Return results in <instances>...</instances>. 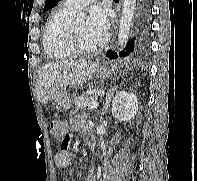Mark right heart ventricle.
<instances>
[{"label": "right heart ventricle", "instance_id": "obj_1", "mask_svg": "<svg viewBox=\"0 0 197 181\" xmlns=\"http://www.w3.org/2000/svg\"><path fill=\"white\" fill-rule=\"evenodd\" d=\"M73 12L63 6L49 16L43 34V48L48 58L65 60L77 56L68 44V29Z\"/></svg>", "mask_w": 197, "mask_h": 181}]
</instances>
